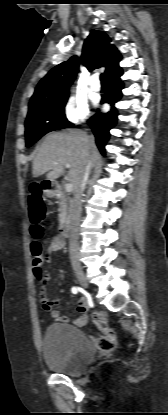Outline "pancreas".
<instances>
[{
	"label": "pancreas",
	"instance_id": "cf45deb5",
	"mask_svg": "<svg viewBox=\"0 0 168 415\" xmlns=\"http://www.w3.org/2000/svg\"><path fill=\"white\" fill-rule=\"evenodd\" d=\"M57 203L59 204V209H58L59 221L61 223H64L69 219V214L71 210V200L69 197L65 196L64 194H60L58 196Z\"/></svg>",
	"mask_w": 168,
	"mask_h": 415
}]
</instances>
